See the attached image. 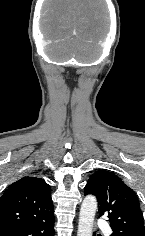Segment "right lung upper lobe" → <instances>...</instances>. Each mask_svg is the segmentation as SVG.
I'll use <instances>...</instances> for the list:
<instances>
[{"label":"right lung upper lobe","mask_w":145,"mask_h":236,"mask_svg":"<svg viewBox=\"0 0 145 236\" xmlns=\"http://www.w3.org/2000/svg\"><path fill=\"white\" fill-rule=\"evenodd\" d=\"M53 212L50 186L42 178L23 177L0 198V230L39 222Z\"/></svg>","instance_id":"cb5924a9"}]
</instances>
